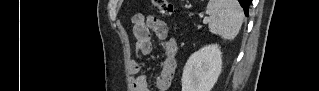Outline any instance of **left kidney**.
Masks as SVG:
<instances>
[{"label":"left kidney","mask_w":319,"mask_h":91,"mask_svg":"<svg viewBox=\"0 0 319 91\" xmlns=\"http://www.w3.org/2000/svg\"><path fill=\"white\" fill-rule=\"evenodd\" d=\"M222 71L219 45H206L188 59L182 74V91H211Z\"/></svg>","instance_id":"5707ae66"}]
</instances>
